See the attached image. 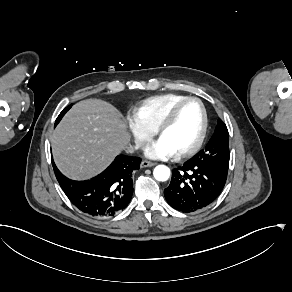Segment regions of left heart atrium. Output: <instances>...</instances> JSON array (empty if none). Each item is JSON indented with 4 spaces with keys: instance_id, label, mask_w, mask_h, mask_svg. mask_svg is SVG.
<instances>
[{
    "instance_id": "39dd6f15",
    "label": "left heart atrium",
    "mask_w": 292,
    "mask_h": 292,
    "mask_svg": "<svg viewBox=\"0 0 292 292\" xmlns=\"http://www.w3.org/2000/svg\"><path fill=\"white\" fill-rule=\"evenodd\" d=\"M177 150L174 146L169 144L165 139L153 141L147 148L146 154L152 158L165 159L175 155Z\"/></svg>"
}]
</instances>
